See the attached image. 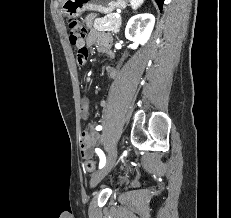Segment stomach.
Instances as JSON below:
<instances>
[{
    "label": "stomach",
    "mask_w": 231,
    "mask_h": 218,
    "mask_svg": "<svg viewBox=\"0 0 231 218\" xmlns=\"http://www.w3.org/2000/svg\"><path fill=\"white\" fill-rule=\"evenodd\" d=\"M128 0H64L62 9L70 18L80 16L86 10L111 13L115 9H124Z\"/></svg>",
    "instance_id": "obj_1"
}]
</instances>
